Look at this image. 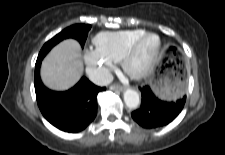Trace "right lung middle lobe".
<instances>
[{
	"label": "right lung middle lobe",
	"instance_id": "dd1d6c3e",
	"mask_svg": "<svg viewBox=\"0 0 225 155\" xmlns=\"http://www.w3.org/2000/svg\"><path fill=\"white\" fill-rule=\"evenodd\" d=\"M90 28V25L77 24L64 29L44 44L38 55L37 60L41 61L53 46H55L57 43L66 38H74L78 40L81 46L83 47Z\"/></svg>",
	"mask_w": 225,
	"mask_h": 155
}]
</instances>
